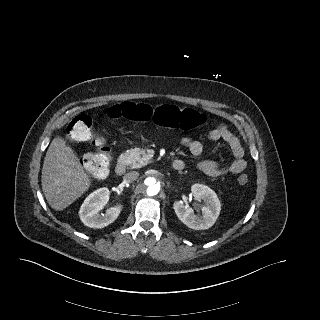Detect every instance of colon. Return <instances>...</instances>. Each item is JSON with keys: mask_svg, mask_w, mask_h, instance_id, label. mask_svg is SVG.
<instances>
[{"mask_svg": "<svg viewBox=\"0 0 320 320\" xmlns=\"http://www.w3.org/2000/svg\"><path fill=\"white\" fill-rule=\"evenodd\" d=\"M107 116L110 119H127L136 122L152 121L154 124L180 130H192L202 126L206 117L189 108L174 105H162L153 108L148 104L123 102L109 108ZM67 136L75 141L89 142L97 148L87 153L83 163L87 170L96 177H105L110 169V155L105 141L93 131L92 120L87 115H78L67 126ZM237 181L245 185L249 181L246 174H241Z\"/></svg>", "mask_w": 320, "mask_h": 320, "instance_id": "obj_1", "label": "colon"}]
</instances>
